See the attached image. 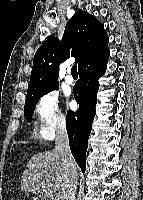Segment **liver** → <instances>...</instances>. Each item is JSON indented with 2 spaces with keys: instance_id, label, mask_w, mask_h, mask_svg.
I'll return each mask as SVG.
<instances>
[{
  "instance_id": "liver-1",
  "label": "liver",
  "mask_w": 143,
  "mask_h": 200,
  "mask_svg": "<svg viewBox=\"0 0 143 200\" xmlns=\"http://www.w3.org/2000/svg\"><path fill=\"white\" fill-rule=\"evenodd\" d=\"M65 175L62 156L56 149L40 152L27 163L20 181L21 189L26 194L36 193L44 184L53 194V200H61Z\"/></svg>"
}]
</instances>
